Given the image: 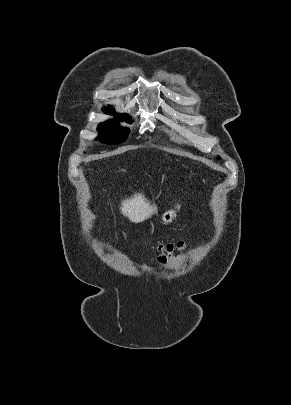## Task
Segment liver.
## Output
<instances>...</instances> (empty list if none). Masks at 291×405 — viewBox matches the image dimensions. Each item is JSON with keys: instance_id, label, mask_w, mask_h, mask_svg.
<instances>
[{"instance_id": "6515ba94", "label": "liver", "mask_w": 291, "mask_h": 405, "mask_svg": "<svg viewBox=\"0 0 291 405\" xmlns=\"http://www.w3.org/2000/svg\"><path fill=\"white\" fill-rule=\"evenodd\" d=\"M121 213L134 223H140L157 213V207L151 205L143 194L137 193L121 203Z\"/></svg>"}]
</instances>
